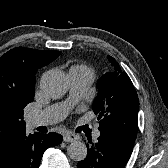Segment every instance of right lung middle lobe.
<instances>
[{
  "mask_svg": "<svg viewBox=\"0 0 168 168\" xmlns=\"http://www.w3.org/2000/svg\"><path fill=\"white\" fill-rule=\"evenodd\" d=\"M33 99H34V92H32V93L30 94L29 99H28V101L26 102V105H27L28 103L32 102ZM21 114L23 115V110L21 111Z\"/></svg>",
  "mask_w": 168,
  "mask_h": 168,
  "instance_id": "dd1d6c3e",
  "label": "right lung middle lobe"
}]
</instances>
